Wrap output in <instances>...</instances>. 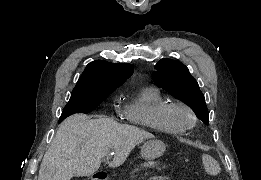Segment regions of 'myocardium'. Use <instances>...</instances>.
I'll return each mask as SVG.
<instances>
[{"instance_id":"1","label":"myocardium","mask_w":261,"mask_h":180,"mask_svg":"<svg viewBox=\"0 0 261 180\" xmlns=\"http://www.w3.org/2000/svg\"><path fill=\"white\" fill-rule=\"evenodd\" d=\"M172 110L182 112L184 115L183 119H173L170 116ZM160 115L164 126L173 131H187L196 123V115L193 108L183 101L169 102L164 108H162Z\"/></svg>"}]
</instances>
